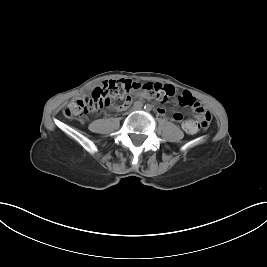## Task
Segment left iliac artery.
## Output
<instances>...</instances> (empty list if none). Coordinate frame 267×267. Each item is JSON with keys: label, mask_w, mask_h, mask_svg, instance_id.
I'll return each mask as SVG.
<instances>
[{"label": "left iliac artery", "mask_w": 267, "mask_h": 267, "mask_svg": "<svg viewBox=\"0 0 267 267\" xmlns=\"http://www.w3.org/2000/svg\"><path fill=\"white\" fill-rule=\"evenodd\" d=\"M144 109H145L146 111H150V110L152 109V106H151L150 104H146V105L144 106Z\"/></svg>", "instance_id": "left-iliac-artery-1"}]
</instances>
